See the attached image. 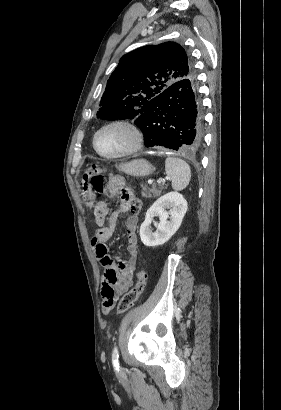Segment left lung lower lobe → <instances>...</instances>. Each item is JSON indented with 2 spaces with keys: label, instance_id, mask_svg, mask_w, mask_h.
Listing matches in <instances>:
<instances>
[{
  "label": "left lung lower lobe",
  "instance_id": "obj_1",
  "mask_svg": "<svg viewBox=\"0 0 281 410\" xmlns=\"http://www.w3.org/2000/svg\"><path fill=\"white\" fill-rule=\"evenodd\" d=\"M135 124L146 147L197 150L203 141V115L195 77L175 82L151 99Z\"/></svg>",
  "mask_w": 281,
  "mask_h": 410
}]
</instances>
